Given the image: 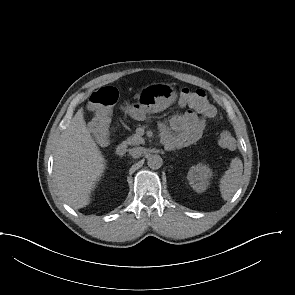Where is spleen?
Masks as SVG:
<instances>
[{"instance_id": "spleen-1", "label": "spleen", "mask_w": 295, "mask_h": 295, "mask_svg": "<svg viewBox=\"0 0 295 295\" xmlns=\"http://www.w3.org/2000/svg\"><path fill=\"white\" fill-rule=\"evenodd\" d=\"M243 172V163L236 157L220 180V192L224 200H230L238 189Z\"/></svg>"}]
</instances>
